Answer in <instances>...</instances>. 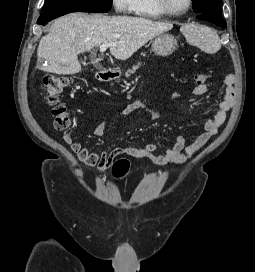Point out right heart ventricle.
<instances>
[{"label": "right heart ventricle", "mask_w": 255, "mask_h": 272, "mask_svg": "<svg viewBox=\"0 0 255 272\" xmlns=\"http://www.w3.org/2000/svg\"><path fill=\"white\" fill-rule=\"evenodd\" d=\"M134 12L143 17L161 18L164 16L156 0H134Z\"/></svg>", "instance_id": "obj_1"}]
</instances>
